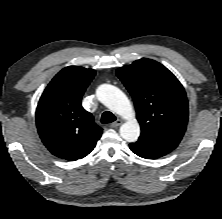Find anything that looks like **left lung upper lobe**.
Listing matches in <instances>:
<instances>
[{
    "label": "left lung upper lobe",
    "mask_w": 222,
    "mask_h": 219,
    "mask_svg": "<svg viewBox=\"0 0 222 219\" xmlns=\"http://www.w3.org/2000/svg\"><path fill=\"white\" fill-rule=\"evenodd\" d=\"M116 75L134 100L142 131L139 140L174 150L188 121V101L178 79L146 58L118 68Z\"/></svg>",
    "instance_id": "left-lung-upper-lobe-1"
}]
</instances>
